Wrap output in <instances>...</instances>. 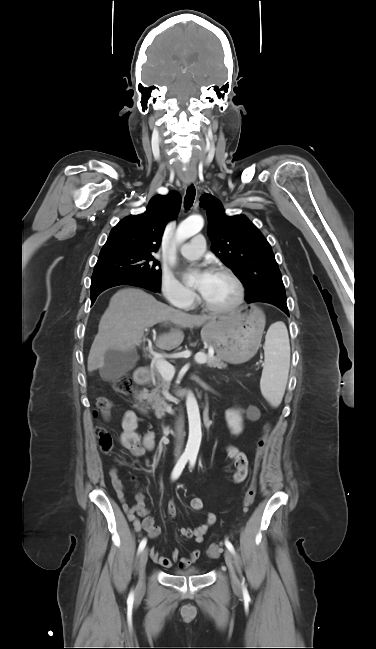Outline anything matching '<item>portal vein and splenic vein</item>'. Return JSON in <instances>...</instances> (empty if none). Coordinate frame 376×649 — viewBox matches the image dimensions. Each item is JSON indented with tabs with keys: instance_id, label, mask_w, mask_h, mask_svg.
I'll return each mask as SVG.
<instances>
[{
	"instance_id": "1",
	"label": "portal vein and splenic vein",
	"mask_w": 376,
	"mask_h": 649,
	"mask_svg": "<svg viewBox=\"0 0 376 649\" xmlns=\"http://www.w3.org/2000/svg\"><path fill=\"white\" fill-rule=\"evenodd\" d=\"M145 331H148L146 328ZM195 361L197 364H204L206 363V356L202 353H198L195 356ZM155 366L158 370V372L161 374V376L165 380H171L175 374V368L166 360L158 358L154 360Z\"/></svg>"
}]
</instances>
